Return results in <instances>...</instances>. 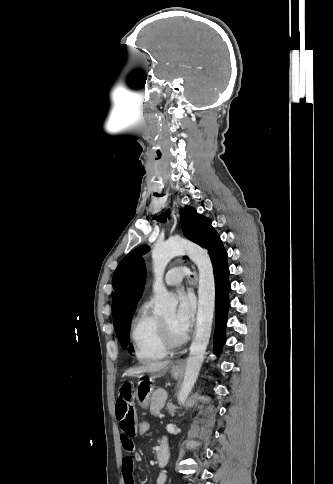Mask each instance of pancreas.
I'll return each mask as SVG.
<instances>
[{
	"mask_svg": "<svg viewBox=\"0 0 333 484\" xmlns=\"http://www.w3.org/2000/svg\"><path fill=\"white\" fill-rule=\"evenodd\" d=\"M167 399V393L164 389L156 390L151 397L150 412L154 416L160 414V410L164 407L165 401Z\"/></svg>",
	"mask_w": 333,
	"mask_h": 484,
	"instance_id": "obj_1",
	"label": "pancreas"
}]
</instances>
